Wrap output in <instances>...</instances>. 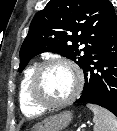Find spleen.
I'll return each instance as SVG.
<instances>
[{
  "label": "spleen",
  "mask_w": 117,
  "mask_h": 131,
  "mask_svg": "<svg viewBox=\"0 0 117 131\" xmlns=\"http://www.w3.org/2000/svg\"><path fill=\"white\" fill-rule=\"evenodd\" d=\"M87 107L94 113V131H117V118L110 111L93 104Z\"/></svg>",
  "instance_id": "spleen-1"
}]
</instances>
